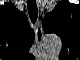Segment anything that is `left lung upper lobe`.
Returning a JSON list of instances; mask_svg holds the SVG:
<instances>
[{"mask_svg": "<svg viewBox=\"0 0 80 60\" xmlns=\"http://www.w3.org/2000/svg\"><path fill=\"white\" fill-rule=\"evenodd\" d=\"M73 12L74 7L72 4L67 1H61L44 18V31L47 33L53 32L60 36L63 42V53H66L67 50L73 51L75 45L72 26Z\"/></svg>", "mask_w": 80, "mask_h": 60, "instance_id": "left-lung-upper-lobe-1", "label": "left lung upper lobe"}]
</instances>
